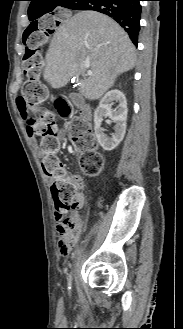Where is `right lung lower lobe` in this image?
<instances>
[{
	"label": "right lung lower lobe",
	"instance_id": "right-lung-lower-lobe-1",
	"mask_svg": "<svg viewBox=\"0 0 183 329\" xmlns=\"http://www.w3.org/2000/svg\"><path fill=\"white\" fill-rule=\"evenodd\" d=\"M67 8L94 10L112 17L125 29L137 46L142 11L140 0H72Z\"/></svg>",
	"mask_w": 183,
	"mask_h": 329
}]
</instances>
